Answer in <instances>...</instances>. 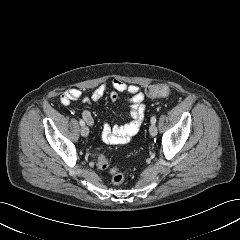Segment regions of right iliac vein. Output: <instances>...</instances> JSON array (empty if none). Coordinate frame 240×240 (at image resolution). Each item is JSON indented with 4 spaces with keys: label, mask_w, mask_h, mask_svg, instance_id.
<instances>
[{
    "label": "right iliac vein",
    "mask_w": 240,
    "mask_h": 240,
    "mask_svg": "<svg viewBox=\"0 0 240 240\" xmlns=\"http://www.w3.org/2000/svg\"><path fill=\"white\" fill-rule=\"evenodd\" d=\"M81 135L84 136V137H87L89 135V129L87 126H83L81 128Z\"/></svg>",
    "instance_id": "63e3f726"
}]
</instances>
